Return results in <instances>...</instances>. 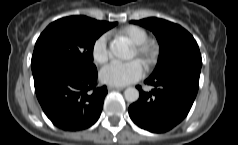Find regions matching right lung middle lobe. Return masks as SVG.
Returning a JSON list of instances; mask_svg holds the SVG:
<instances>
[{
  "instance_id": "dd1d6c3e",
  "label": "right lung middle lobe",
  "mask_w": 238,
  "mask_h": 145,
  "mask_svg": "<svg viewBox=\"0 0 238 145\" xmlns=\"http://www.w3.org/2000/svg\"><path fill=\"white\" fill-rule=\"evenodd\" d=\"M86 16H69L51 23L36 41L31 63L45 59H62L86 69H95V41L115 26Z\"/></svg>"
}]
</instances>
